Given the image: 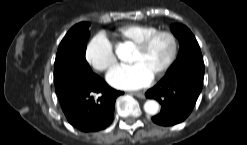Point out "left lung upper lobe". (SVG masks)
<instances>
[{"label":"left lung upper lobe","instance_id":"5c2ea615","mask_svg":"<svg viewBox=\"0 0 247 145\" xmlns=\"http://www.w3.org/2000/svg\"><path fill=\"white\" fill-rule=\"evenodd\" d=\"M171 30L180 42V52L168 71L187 63H203L200 47L192 32L181 24H173Z\"/></svg>","mask_w":247,"mask_h":145}]
</instances>
